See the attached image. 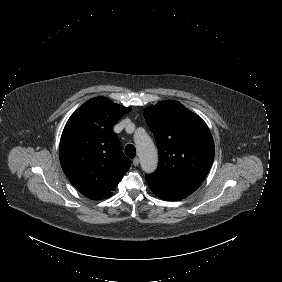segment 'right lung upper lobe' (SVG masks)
Wrapping results in <instances>:
<instances>
[{
  "instance_id": "1",
  "label": "right lung upper lobe",
  "mask_w": 282,
  "mask_h": 282,
  "mask_svg": "<svg viewBox=\"0 0 282 282\" xmlns=\"http://www.w3.org/2000/svg\"><path fill=\"white\" fill-rule=\"evenodd\" d=\"M131 108L96 97L80 106L63 130L59 154L72 185L92 200L108 198L129 170L112 126Z\"/></svg>"
}]
</instances>
